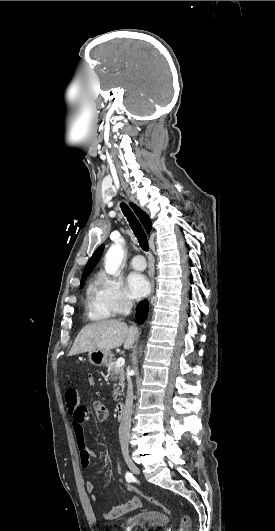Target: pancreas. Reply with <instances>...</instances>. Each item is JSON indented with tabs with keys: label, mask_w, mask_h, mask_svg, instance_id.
<instances>
[{
	"label": "pancreas",
	"mask_w": 275,
	"mask_h": 531,
	"mask_svg": "<svg viewBox=\"0 0 275 531\" xmlns=\"http://www.w3.org/2000/svg\"><path fill=\"white\" fill-rule=\"evenodd\" d=\"M110 371L111 381H115L113 389V401H119L118 397L122 395L125 387V371L123 367H116V363H109L107 365ZM122 387V391H120Z\"/></svg>",
	"instance_id": "1"
}]
</instances>
